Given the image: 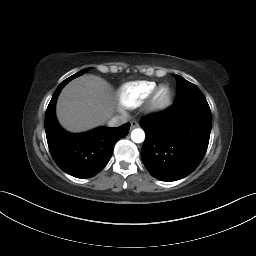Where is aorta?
<instances>
[{"instance_id": "1", "label": "aorta", "mask_w": 256, "mask_h": 256, "mask_svg": "<svg viewBox=\"0 0 256 256\" xmlns=\"http://www.w3.org/2000/svg\"><path fill=\"white\" fill-rule=\"evenodd\" d=\"M131 139L135 143H142L145 140V133L141 128H136L131 132Z\"/></svg>"}]
</instances>
